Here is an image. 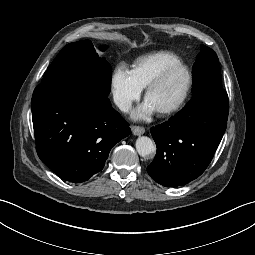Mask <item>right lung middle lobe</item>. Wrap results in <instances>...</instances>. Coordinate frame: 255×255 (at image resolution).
<instances>
[{
  "instance_id": "right-lung-middle-lobe-1",
  "label": "right lung middle lobe",
  "mask_w": 255,
  "mask_h": 255,
  "mask_svg": "<svg viewBox=\"0 0 255 255\" xmlns=\"http://www.w3.org/2000/svg\"><path fill=\"white\" fill-rule=\"evenodd\" d=\"M106 48L102 46L101 50ZM111 77L109 63L98 56L90 40H84L67 44L47 68L41 83L73 84L107 97Z\"/></svg>"
}]
</instances>
